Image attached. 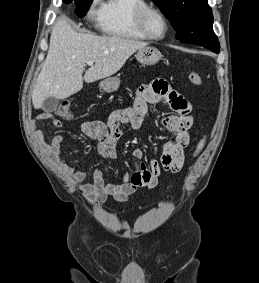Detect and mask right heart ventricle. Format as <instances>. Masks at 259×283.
Segmentation results:
<instances>
[{
  "mask_svg": "<svg viewBox=\"0 0 259 283\" xmlns=\"http://www.w3.org/2000/svg\"><path fill=\"white\" fill-rule=\"evenodd\" d=\"M147 5L146 0H106L99 18L101 31L120 39H147L136 21L138 10Z\"/></svg>",
  "mask_w": 259,
  "mask_h": 283,
  "instance_id": "obj_1",
  "label": "right heart ventricle"
}]
</instances>
